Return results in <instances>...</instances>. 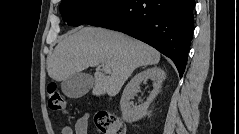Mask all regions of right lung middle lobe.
Masks as SVG:
<instances>
[{
    "label": "right lung middle lobe",
    "instance_id": "obj_1",
    "mask_svg": "<svg viewBox=\"0 0 239 134\" xmlns=\"http://www.w3.org/2000/svg\"><path fill=\"white\" fill-rule=\"evenodd\" d=\"M117 0H62L60 12L64 22L71 26L85 24L96 14Z\"/></svg>",
    "mask_w": 239,
    "mask_h": 134
}]
</instances>
